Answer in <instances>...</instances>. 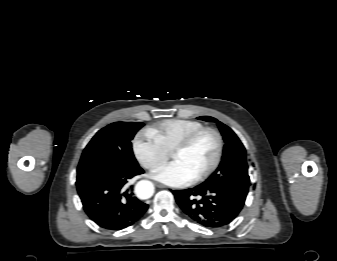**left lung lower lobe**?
<instances>
[{"label": "left lung lower lobe", "instance_id": "left-lung-lower-lobe-1", "mask_svg": "<svg viewBox=\"0 0 337 261\" xmlns=\"http://www.w3.org/2000/svg\"><path fill=\"white\" fill-rule=\"evenodd\" d=\"M181 210L194 222L207 228H220L231 223L244 203L229 192L200 185L172 191Z\"/></svg>", "mask_w": 337, "mask_h": 261}]
</instances>
